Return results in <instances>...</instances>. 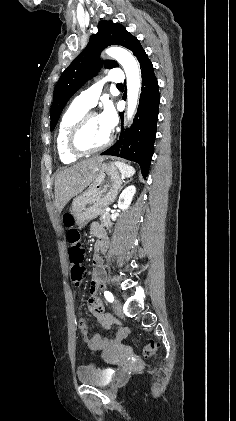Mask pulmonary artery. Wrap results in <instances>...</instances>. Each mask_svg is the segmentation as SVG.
I'll return each mask as SVG.
<instances>
[{
    "instance_id": "obj_1",
    "label": "pulmonary artery",
    "mask_w": 236,
    "mask_h": 421,
    "mask_svg": "<svg viewBox=\"0 0 236 421\" xmlns=\"http://www.w3.org/2000/svg\"><path fill=\"white\" fill-rule=\"evenodd\" d=\"M108 76L102 78L93 87L76 97L75 102L87 110L91 109L96 105L106 79H109L111 86H120L124 81L123 71L121 69H110Z\"/></svg>"
}]
</instances>
